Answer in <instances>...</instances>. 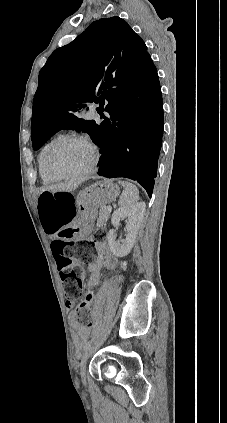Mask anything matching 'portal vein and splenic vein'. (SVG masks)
<instances>
[{"instance_id": "18ae733b", "label": "portal vein and splenic vein", "mask_w": 227, "mask_h": 423, "mask_svg": "<svg viewBox=\"0 0 227 423\" xmlns=\"http://www.w3.org/2000/svg\"><path fill=\"white\" fill-rule=\"evenodd\" d=\"M106 210L111 211L112 210L111 206H107Z\"/></svg>"}]
</instances>
